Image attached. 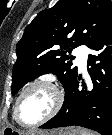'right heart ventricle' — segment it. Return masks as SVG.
Segmentation results:
<instances>
[{
  "instance_id": "e07e8e85",
  "label": "right heart ventricle",
  "mask_w": 112,
  "mask_h": 135,
  "mask_svg": "<svg viewBox=\"0 0 112 135\" xmlns=\"http://www.w3.org/2000/svg\"><path fill=\"white\" fill-rule=\"evenodd\" d=\"M13 118H14V120H15V117H14V110H13ZM16 121V120H15ZM17 122V121H16Z\"/></svg>"
}]
</instances>
